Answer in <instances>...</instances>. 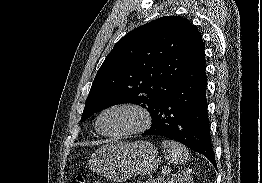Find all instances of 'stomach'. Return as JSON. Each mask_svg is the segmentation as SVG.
<instances>
[{
  "label": "stomach",
  "instance_id": "obj_1",
  "mask_svg": "<svg viewBox=\"0 0 262 183\" xmlns=\"http://www.w3.org/2000/svg\"><path fill=\"white\" fill-rule=\"evenodd\" d=\"M160 158L155 146L147 141L132 143L112 140L92 154L89 168L102 176L123 182L133 176L155 172Z\"/></svg>",
  "mask_w": 262,
  "mask_h": 183
}]
</instances>
